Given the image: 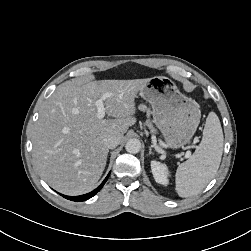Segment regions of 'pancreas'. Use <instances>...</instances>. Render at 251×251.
<instances>
[{"label": "pancreas", "instance_id": "obj_1", "mask_svg": "<svg viewBox=\"0 0 251 251\" xmlns=\"http://www.w3.org/2000/svg\"><path fill=\"white\" fill-rule=\"evenodd\" d=\"M147 126L150 128V130L152 131V132H154L155 130H154V128H153V126H152V124H151V122H147Z\"/></svg>", "mask_w": 251, "mask_h": 251}]
</instances>
